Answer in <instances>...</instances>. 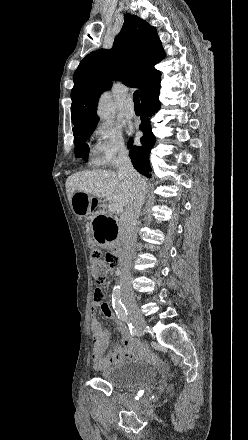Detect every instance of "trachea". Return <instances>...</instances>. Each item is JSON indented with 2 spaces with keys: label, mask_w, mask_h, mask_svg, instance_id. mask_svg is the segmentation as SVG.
Masks as SVG:
<instances>
[{
  "label": "trachea",
  "mask_w": 248,
  "mask_h": 440,
  "mask_svg": "<svg viewBox=\"0 0 248 440\" xmlns=\"http://www.w3.org/2000/svg\"><path fill=\"white\" fill-rule=\"evenodd\" d=\"M133 101L135 107H140L139 91L136 90L133 94Z\"/></svg>",
  "instance_id": "obj_1"
}]
</instances>
